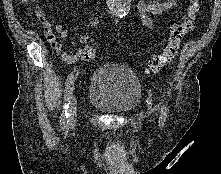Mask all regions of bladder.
<instances>
[{
  "instance_id": "31cf9c89",
  "label": "bladder",
  "mask_w": 221,
  "mask_h": 174,
  "mask_svg": "<svg viewBox=\"0 0 221 174\" xmlns=\"http://www.w3.org/2000/svg\"><path fill=\"white\" fill-rule=\"evenodd\" d=\"M141 95V82L132 69L120 64H104L91 77L88 100L104 112L119 114L135 109Z\"/></svg>"
}]
</instances>
